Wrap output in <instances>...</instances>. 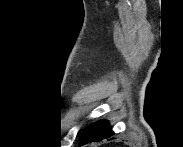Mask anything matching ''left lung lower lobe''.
I'll use <instances>...</instances> for the list:
<instances>
[{"label":"left lung lower lobe","mask_w":183,"mask_h":147,"mask_svg":"<svg viewBox=\"0 0 183 147\" xmlns=\"http://www.w3.org/2000/svg\"><path fill=\"white\" fill-rule=\"evenodd\" d=\"M114 135L107 121L101 120L85 128L80 136V145L89 142H99Z\"/></svg>","instance_id":"1"}]
</instances>
